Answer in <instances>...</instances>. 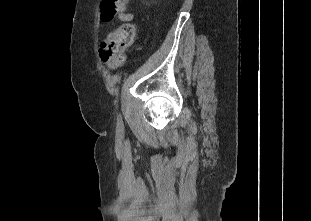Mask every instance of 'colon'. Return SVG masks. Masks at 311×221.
Returning <instances> with one entry per match:
<instances>
[{
	"instance_id": "obj_1",
	"label": "colon",
	"mask_w": 311,
	"mask_h": 221,
	"mask_svg": "<svg viewBox=\"0 0 311 221\" xmlns=\"http://www.w3.org/2000/svg\"><path fill=\"white\" fill-rule=\"evenodd\" d=\"M130 0H105L103 2L99 22H112L114 17H123V5L129 4ZM137 23L126 22L117 29L107 33L100 47V57L109 64L110 68H117L122 64L123 53L127 50L135 39Z\"/></svg>"
}]
</instances>
